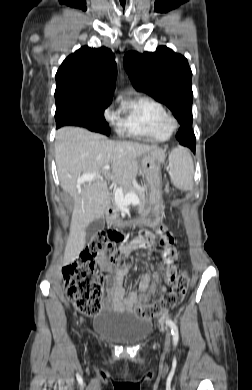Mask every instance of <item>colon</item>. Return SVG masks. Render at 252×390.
<instances>
[{"label": "colon", "instance_id": "1", "mask_svg": "<svg viewBox=\"0 0 252 390\" xmlns=\"http://www.w3.org/2000/svg\"><path fill=\"white\" fill-rule=\"evenodd\" d=\"M121 238L122 235L116 230L98 234L87 251L63 271L69 299L77 310L86 316H95L100 312L104 295L103 276L97 271V262L106 260L121 269L132 263L130 254L116 245ZM168 277L174 278L175 284L161 299L147 304L148 294L141 295L142 303L135 308V314L138 317L149 318L164 313L181 303L189 287L186 272H181L178 277H176V271L172 269L166 273L156 272L150 292H154L159 282Z\"/></svg>", "mask_w": 252, "mask_h": 390}]
</instances>
